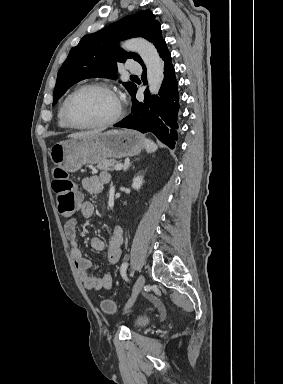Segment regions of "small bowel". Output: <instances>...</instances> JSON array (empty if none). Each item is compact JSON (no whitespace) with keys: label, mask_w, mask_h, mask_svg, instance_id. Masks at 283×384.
I'll use <instances>...</instances> for the list:
<instances>
[{"label":"small bowel","mask_w":283,"mask_h":384,"mask_svg":"<svg viewBox=\"0 0 283 384\" xmlns=\"http://www.w3.org/2000/svg\"><path fill=\"white\" fill-rule=\"evenodd\" d=\"M110 175L100 173L85 177L82 180L83 189L90 194L99 193L104 186L109 183ZM81 214L84 218L89 219L94 214V205L90 201H85L80 207ZM65 235L71 245V257L77 269L78 276L84 287L88 290H108L113 285V277L110 273L101 276L94 275L91 271L96 269L93 263L83 256L79 247V238L77 233V219L71 218L64 224ZM123 243V230L116 225L113 229L109 241L106 243L102 238L93 236L90 239L91 247L96 251H104L106 253L107 262L110 265L116 264L122 255L121 245Z\"/></svg>","instance_id":"c3829d8e"}]
</instances>
